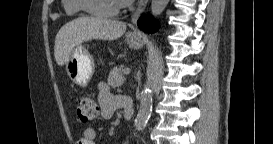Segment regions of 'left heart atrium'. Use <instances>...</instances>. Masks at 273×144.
Returning a JSON list of instances; mask_svg holds the SVG:
<instances>
[{
  "label": "left heart atrium",
  "instance_id": "left-heart-atrium-1",
  "mask_svg": "<svg viewBox=\"0 0 273 144\" xmlns=\"http://www.w3.org/2000/svg\"><path fill=\"white\" fill-rule=\"evenodd\" d=\"M115 2L118 6H127L132 2V0H115Z\"/></svg>",
  "mask_w": 273,
  "mask_h": 144
}]
</instances>
